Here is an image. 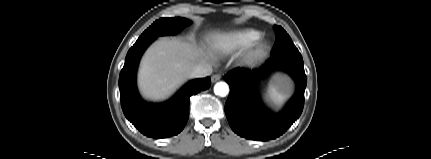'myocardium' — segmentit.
<instances>
[{
  "label": "myocardium",
  "instance_id": "1",
  "mask_svg": "<svg viewBox=\"0 0 431 159\" xmlns=\"http://www.w3.org/2000/svg\"><path fill=\"white\" fill-rule=\"evenodd\" d=\"M269 48V43L260 37L250 45L248 55L250 57H261L268 52Z\"/></svg>",
  "mask_w": 431,
  "mask_h": 159
}]
</instances>
